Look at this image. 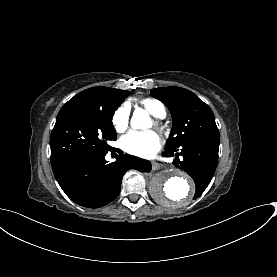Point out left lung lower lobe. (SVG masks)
I'll list each match as a JSON object with an SVG mask.
<instances>
[{
	"label": "left lung lower lobe",
	"mask_w": 277,
	"mask_h": 277,
	"mask_svg": "<svg viewBox=\"0 0 277 277\" xmlns=\"http://www.w3.org/2000/svg\"><path fill=\"white\" fill-rule=\"evenodd\" d=\"M219 136H204L182 144L179 148L163 153L166 157L175 154L173 164L183 168L195 182L196 193L200 196L210 183L218 162ZM183 158L182 161L179 160Z\"/></svg>",
	"instance_id": "1"
}]
</instances>
